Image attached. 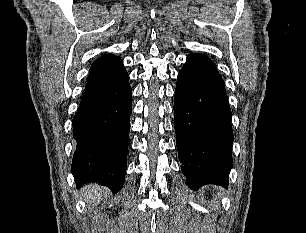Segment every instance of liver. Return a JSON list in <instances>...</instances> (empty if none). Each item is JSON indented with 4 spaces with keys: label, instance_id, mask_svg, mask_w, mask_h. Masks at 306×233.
I'll use <instances>...</instances> for the list:
<instances>
[{
    "label": "liver",
    "instance_id": "obj_1",
    "mask_svg": "<svg viewBox=\"0 0 306 233\" xmlns=\"http://www.w3.org/2000/svg\"><path fill=\"white\" fill-rule=\"evenodd\" d=\"M105 188L97 184H88L82 189V194L91 206H97L101 200Z\"/></svg>",
    "mask_w": 306,
    "mask_h": 233
}]
</instances>
